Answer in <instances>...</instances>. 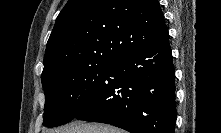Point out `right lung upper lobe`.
Returning a JSON list of instances; mask_svg holds the SVG:
<instances>
[{
  "label": "right lung upper lobe",
  "mask_w": 221,
  "mask_h": 133,
  "mask_svg": "<svg viewBox=\"0 0 221 133\" xmlns=\"http://www.w3.org/2000/svg\"><path fill=\"white\" fill-rule=\"evenodd\" d=\"M167 39L157 0H69L47 42L42 76L63 66L112 63Z\"/></svg>",
  "instance_id": "cb5924a9"
}]
</instances>
